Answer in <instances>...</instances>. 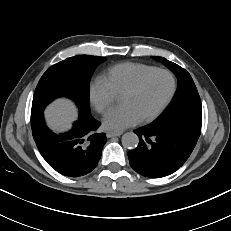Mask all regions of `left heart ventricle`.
<instances>
[{
	"instance_id": "left-heart-ventricle-1",
	"label": "left heart ventricle",
	"mask_w": 231,
	"mask_h": 231,
	"mask_svg": "<svg viewBox=\"0 0 231 231\" xmlns=\"http://www.w3.org/2000/svg\"><path fill=\"white\" fill-rule=\"evenodd\" d=\"M171 87L169 75L156 73L137 92L121 97V103L129 105L141 119L153 113L163 103Z\"/></svg>"
}]
</instances>
